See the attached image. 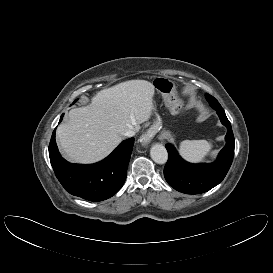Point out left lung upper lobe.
Listing matches in <instances>:
<instances>
[{"label": "left lung upper lobe", "mask_w": 273, "mask_h": 273, "mask_svg": "<svg viewBox=\"0 0 273 273\" xmlns=\"http://www.w3.org/2000/svg\"><path fill=\"white\" fill-rule=\"evenodd\" d=\"M206 99L215 110H222L223 108L219 104V102L211 95L206 93Z\"/></svg>", "instance_id": "left-lung-upper-lobe-1"}]
</instances>
